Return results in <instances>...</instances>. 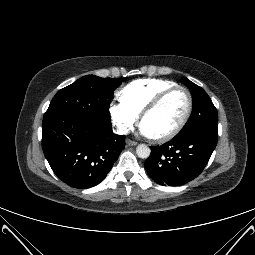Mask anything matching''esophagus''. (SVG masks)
<instances>
[{"instance_id":"1","label":"esophagus","mask_w":255,"mask_h":255,"mask_svg":"<svg viewBox=\"0 0 255 255\" xmlns=\"http://www.w3.org/2000/svg\"><path fill=\"white\" fill-rule=\"evenodd\" d=\"M126 144H127V146H135V145H137V142L132 141L130 139H126Z\"/></svg>"}]
</instances>
